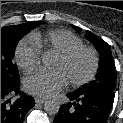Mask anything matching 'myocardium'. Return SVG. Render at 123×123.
Returning a JSON list of instances; mask_svg holds the SVG:
<instances>
[{"instance_id": "obj_1", "label": "myocardium", "mask_w": 123, "mask_h": 123, "mask_svg": "<svg viewBox=\"0 0 123 123\" xmlns=\"http://www.w3.org/2000/svg\"><path fill=\"white\" fill-rule=\"evenodd\" d=\"M81 53H86L90 56L91 68L84 77L79 78V79L69 80L70 84L73 87L83 86L94 79L99 69V64H100L99 54L93 47L86 46V45L76 46L66 51L57 53V56L64 61H68L74 58L76 55L81 54Z\"/></svg>"}]
</instances>
